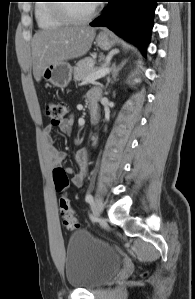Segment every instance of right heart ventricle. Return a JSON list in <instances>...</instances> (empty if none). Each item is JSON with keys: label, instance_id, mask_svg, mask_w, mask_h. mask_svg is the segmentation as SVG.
<instances>
[{"label": "right heart ventricle", "instance_id": "e07e8e85", "mask_svg": "<svg viewBox=\"0 0 195 299\" xmlns=\"http://www.w3.org/2000/svg\"><path fill=\"white\" fill-rule=\"evenodd\" d=\"M53 0H39L34 8L37 25L43 29L58 28L67 24L55 13Z\"/></svg>", "mask_w": 195, "mask_h": 299}]
</instances>
